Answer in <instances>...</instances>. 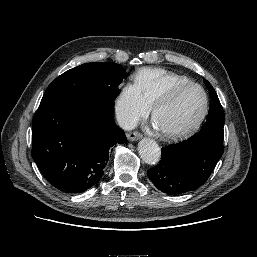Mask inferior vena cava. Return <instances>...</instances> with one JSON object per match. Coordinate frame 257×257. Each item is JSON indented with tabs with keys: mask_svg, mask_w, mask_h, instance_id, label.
<instances>
[{
	"mask_svg": "<svg viewBox=\"0 0 257 257\" xmlns=\"http://www.w3.org/2000/svg\"><path fill=\"white\" fill-rule=\"evenodd\" d=\"M116 118H117L119 126L124 130H132L138 124L137 117L130 113L117 111Z\"/></svg>",
	"mask_w": 257,
	"mask_h": 257,
	"instance_id": "obj_1",
	"label": "inferior vena cava"
}]
</instances>
